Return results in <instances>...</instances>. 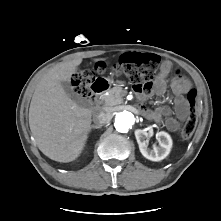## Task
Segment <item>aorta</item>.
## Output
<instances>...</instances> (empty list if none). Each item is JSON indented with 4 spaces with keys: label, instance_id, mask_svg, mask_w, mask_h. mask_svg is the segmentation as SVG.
<instances>
[{
    "label": "aorta",
    "instance_id": "aorta-1",
    "mask_svg": "<svg viewBox=\"0 0 221 221\" xmlns=\"http://www.w3.org/2000/svg\"><path fill=\"white\" fill-rule=\"evenodd\" d=\"M135 123V116L130 111H122L116 114L114 126L117 131L126 133Z\"/></svg>",
    "mask_w": 221,
    "mask_h": 221
}]
</instances>
